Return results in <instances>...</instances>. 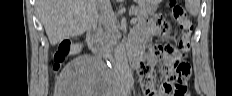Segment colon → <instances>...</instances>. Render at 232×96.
Returning <instances> with one entry per match:
<instances>
[{"label":"colon","instance_id":"5ec220e1","mask_svg":"<svg viewBox=\"0 0 232 96\" xmlns=\"http://www.w3.org/2000/svg\"><path fill=\"white\" fill-rule=\"evenodd\" d=\"M171 17L179 24L182 37L177 48L163 47L160 50L169 58V70L167 71L166 81L171 84L174 81V95H185V81L181 77H186L190 73V66L186 61L189 53V39L193 30L191 19L187 16L183 6L176 0L169 2ZM72 43L69 41L62 42L53 57L52 69L58 72L65 61ZM177 74L178 76H176Z\"/></svg>","mask_w":232,"mask_h":96}]
</instances>
